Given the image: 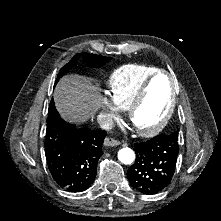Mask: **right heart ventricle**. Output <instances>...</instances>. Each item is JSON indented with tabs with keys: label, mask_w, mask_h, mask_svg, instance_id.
Here are the masks:
<instances>
[{
	"label": "right heart ventricle",
	"mask_w": 221,
	"mask_h": 221,
	"mask_svg": "<svg viewBox=\"0 0 221 221\" xmlns=\"http://www.w3.org/2000/svg\"><path fill=\"white\" fill-rule=\"evenodd\" d=\"M157 70L144 64H127L115 69L108 79V86L118 106L128 107L138 89Z\"/></svg>",
	"instance_id": "right-heart-ventricle-1"
}]
</instances>
